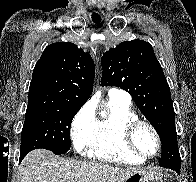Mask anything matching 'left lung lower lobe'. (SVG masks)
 <instances>
[{
	"label": "left lung lower lobe",
	"mask_w": 196,
	"mask_h": 182,
	"mask_svg": "<svg viewBox=\"0 0 196 182\" xmlns=\"http://www.w3.org/2000/svg\"><path fill=\"white\" fill-rule=\"evenodd\" d=\"M161 159L165 162V164L168 163V161L171 162L170 165L175 164V161L179 158V154L171 147H162V155ZM178 173H180V166L176 170Z\"/></svg>",
	"instance_id": "left-lung-lower-lobe-1"
}]
</instances>
